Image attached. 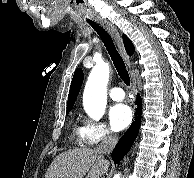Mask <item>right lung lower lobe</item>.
<instances>
[{
	"label": "right lung lower lobe",
	"mask_w": 194,
	"mask_h": 178,
	"mask_svg": "<svg viewBox=\"0 0 194 178\" xmlns=\"http://www.w3.org/2000/svg\"><path fill=\"white\" fill-rule=\"evenodd\" d=\"M136 103L138 104V108L136 109V113H138V118L135 123H133L130 128L126 131V133L121 137L118 144L116 145L113 153H112V159L115 163H119L120 160L123 159L124 155L128 153L130 150L132 144L134 143L140 125H141V99L138 96Z\"/></svg>",
	"instance_id": "obj_1"
}]
</instances>
